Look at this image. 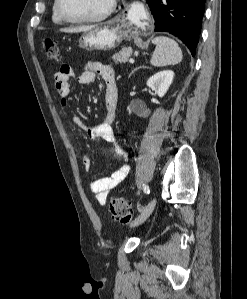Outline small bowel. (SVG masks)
Instances as JSON below:
<instances>
[{"instance_id":"obj_1","label":"small bowel","mask_w":247,"mask_h":299,"mask_svg":"<svg viewBox=\"0 0 247 299\" xmlns=\"http://www.w3.org/2000/svg\"><path fill=\"white\" fill-rule=\"evenodd\" d=\"M73 77H75V72L69 65H62L54 74L55 88L61 97L62 107L67 106V97L70 94V79ZM98 77H101L106 83L103 122L96 126H90L80 117L73 115L70 118V124L75 128L85 130L88 136L95 141L113 143L116 153L119 156H126L123 147L117 142L111 128L118 103V90L112 68L99 62H91L76 78L80 84H91L94 83ZM111 108H113V111H110ZM82 165L85 171L88 172L91 170L92 161L89 155H83ZM128 172L129 167L123 165L110 176L91 182L90 189L100 205H105L110 192L126 178Z\"/></svg>"}]
</instances>
